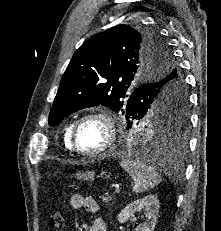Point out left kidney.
<instances>
[{
    "label": "left kidney",
    "mask_w": 221,
    "mask_h": 231,
    "mask_svg": "<svg viewBox=\"0 0 221 231\" xmlns=\"http://www.w3.org/2000/svg\"><path fill=\"white\" fill-rule=\"evenodd\" d=\"M142 209L146 212L147 221L138 225L135 231H154L159 213V200L153 194L135 200L121 210L118 214L119 223H124L130 216Z\"/></svg>",
    "instance_id": "obj_1"
}]
</instances>
